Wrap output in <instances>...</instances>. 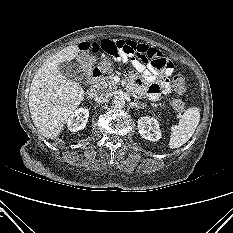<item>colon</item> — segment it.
Here are the masks:
<instances>
[{
	"instance_id": "colon-1",
	"label": "colon",
	"mask_w": 233,
	"mask_h": 233,
	"mask_svg": "<svg viewBox=\"0 0 233 233\" xmlns=\"http://www.w3.org/2000/svg\"><path fill=\"white\" fill-rule=\"evenodd\" d=\"M173 89L177 94H182L187 89V80L183 74H176L172 80ZM172 107L177 113H183L186 109L185 103L180 99L171 102Z\"/></svg>"
}]
</instances>
